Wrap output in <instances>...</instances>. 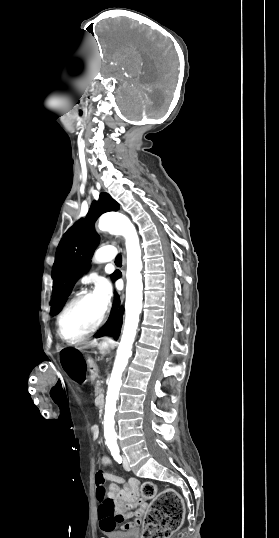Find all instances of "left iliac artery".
Instances as JSON below:
<instances>
[{
  "label": "left iliac artery",
  "mask_w": 279,
  "mask_h": 538,
  "mask_svg": "<svg viewBox=\"0 0 279 538\" xmlns=\"http://www.w3.org/2000/svg\"><path fill=\"white\" fill-rule=\"evenodd\" d=\"M111 454H112V456H113V458L115 459L116 462H118V463L122 462V458H121V456L119 454V449H112Z\"/></svg>",
  "instance_id": "1"
}]
</instances>
